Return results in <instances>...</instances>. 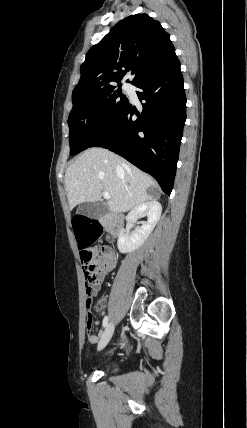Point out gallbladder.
Masks as SVG:
<instances>
[{
  "label": "gallbladder",
  "mask_w": 247,
  "mask_h": 428,
  "mask_svg": "<svg viewBox=\"0 0 247 428\" xmlns=\"http://www.w3.org/2000/svg\"><path fill=\"white\" fill-rule=\"evenodd\" d=\"M107 210V205L100 202H84L77 208V214L91 219L101 217Z\"/></svg>",
  "instance_id": "obj_1"
}]
</instances>
